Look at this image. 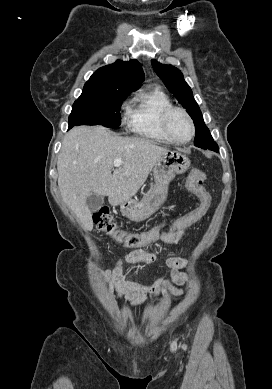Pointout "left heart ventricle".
Masks as SVG:
<instances>
[{"instance_id":"b2bd125f","label":"left heart ventricle","mask_w":272,"mask_h":389,"mask_svg":"<svg viewBox=\"0 0 272 389\" xmlns=\"http://www.w3.org/2000/svg\"><path fill=\"white\" fill-rule=\"evenodd\" d=\"M169 125L173 135L176 138L180 140H186L190 137L191 127L188 120L182 113H174L170 118Z\"/></svg>"}]
</instances>
